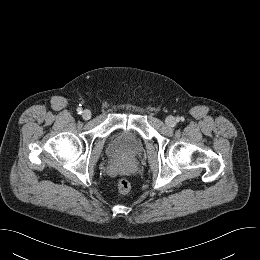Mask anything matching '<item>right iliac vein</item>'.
<instances>
[{"mask_svg":"<svg viewBox=\"0 0 260 260\" xmlns=\"http://www.w3.org/2000/svg\"><path fill=\"white\" fill-rule=\"evenodd\" d=\"M82 117L85 120L90 119L91 118V111L88 110V109L84 110L83 113H82Z\"/></svg>","mask_w":260,"mask_h":260,"instance_id":"63e3f726","label":"right iliac vein"}]
</instances>
